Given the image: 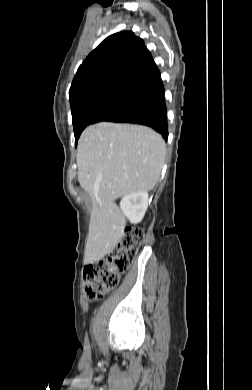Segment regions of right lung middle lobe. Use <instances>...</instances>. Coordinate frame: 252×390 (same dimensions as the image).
Instances as JSON below:
<instances>
[{"label":"right lung middle lobe","instance_id":"right-lung-middle-lobe-1","mask_svg":"<svg viewBox=\"0 0 252 390\" xmlns=\"http://www.w3.org/2000/svg\"><path fill=\"white\" fill-rule=\"evenodd\" d=\"M135 99L125 97L98 98L79 106L72 111L75 143L86 126L105 121L115 113L127 108Z\"/></svg>","mask_w":252,"mask_h":390}]
</instances>
